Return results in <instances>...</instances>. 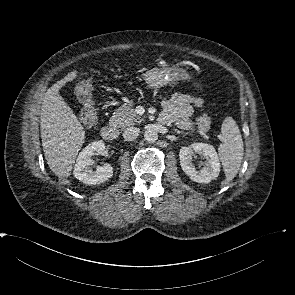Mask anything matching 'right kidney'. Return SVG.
<instances>
[{
    "label": "right kidney",
    "mask_w": 295,
    "mask_h": 295,
    "mask_svg": "<svg viewBox=\"0 0 295 295\" xmlns=\"http://www.w3.org/2000/svg\"><path fill=\"white\" fill-rule=\"evenodd\" d=\"M108 147L105 146L103 141H94L86 146L78 155L73 174L75 178L88 185H96L107 181L113 176V168L110 164H104L103 166H97L93 171L90 165H92V156L95 153L106 155Z\"/></svg>",
    "instance_id": "1"
}]
</instances>
